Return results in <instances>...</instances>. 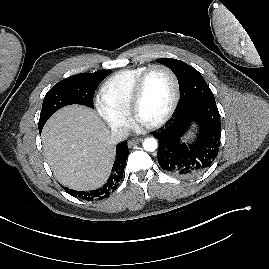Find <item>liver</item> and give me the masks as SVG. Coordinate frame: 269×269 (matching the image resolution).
<instances>
[{
  "mask_svg": "<svg viewBox=\"0 0 269 269\" xmlns=\"http://www.w3.org/2000/svg\"><path fill=\"white\" fill-rule=\"evenodd\" d=\"M110 132L90 108L64 107L44 126V153L57 180L72 189L100 187L113 165Z\"/></svg>",
  "mask_w": 269,
  "mask_h": 269,
  "instance_id": "obj_1",
  "label": "liver"
}]
</instances>
